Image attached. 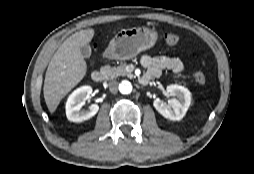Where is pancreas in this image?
I'll return each mask as SVG.
<instances>
[{"instance_id":"1","label":"pancreas","mask_w":254,"mask_h":174,"mask_svg":"<svg viewBox=\"0 0 254 174\" xmlns=\"http://www.w3.org/2000/svg\"><path fill=\"white\" fill-rule=\"evenodd\" d=\"M126 66V63H121L117 67H110L109 65H106L101 68V72L104 73L106 78L108 79H113L118 76L132 77V74L130 72H127Z\"/></svg>"}]
</instances>
